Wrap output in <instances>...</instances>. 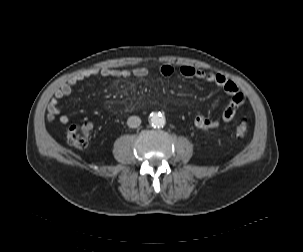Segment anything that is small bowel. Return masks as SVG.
I'll return each mask as SVG.
<instances>
[{"label":"small bowel","instance_id":"1","mask_svg":"<svg viewBox=\"0 0 303 252\" xmlns=\"http://www.w3.org/2000/svg\"><path fill=\"white\" fill-rule=\"evenodd\" d=\"M158 72L165 77H170L175 73V68L170 63H164L158 67ZM179 73L190 79L204 80L215 84L226 94L231 97V101L224 109L220 117L210 118L197 112L194 116V125L201 129H210L219 127L221 124L229 122L240 106H242L246 100L245 95L240 91L238 86L230 81L227 77L221 74L208 73L200 69H196L190 66H181ZM149 74V70L146 67H134L130 69H112V68H89L85 69L78 74L71 77L68 81L60 85L54 92V95L49 101L46 113V119L49 122L54 121L56 118L63 125L70 122V117L61 112L59 103L60 101L69 96L72 93L73 87L85 79L92 77L102 78H127L137 77L143 78Z\"/></svg>","mask_w":303,"mask_h":252}]
</instances>
